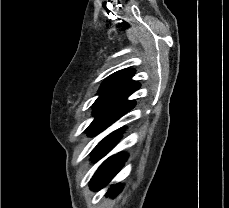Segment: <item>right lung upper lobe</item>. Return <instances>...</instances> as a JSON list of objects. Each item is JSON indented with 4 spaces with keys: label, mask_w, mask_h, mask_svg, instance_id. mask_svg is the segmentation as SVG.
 Instances as JSON below:
<instances>
[{
    "label": "right lung upper lobe",
    "mask_w": 229,
    "mask_h": 208,
    "mask_svg": "<svg viewBox=\"0 0 229 208\" xmlns=\"http://www.w3.org/2000/svg\"><path fill=\"white\" fill-rule=\"evenodd\" d=\"M135 70L124 69L120 70L104 80L100 89L97 101L114 100L134 103L127 101V97L140 88V84L131 80ZM135 104V103H134Z\"/></svg>",
    "instance_id": "cb5924a9"
}]
</instances>
